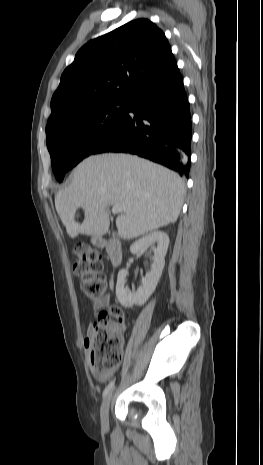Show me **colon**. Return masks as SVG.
Returning a JSON list of instances; mask_svg holds the SVG:
<instances>
[{"mask_svg": "<svg viewBox=\"0 0 263 465\" xmlns=\"http://www.w3.org/2000/svg\"><path fill=\"white\" fill-rule=\"evenodd\" d=\"M77 260L74 273L80 277L81 289L91 300L103 297L106 279L102 273L103 264L98 252L89 246L80 245L75 250ZM124 317L118 307L101 311L85 342L90 349L89 359L98 372H108L116 368L123 352V337L120 331Z\"/></svg>", "mask_w": 263, "mask_h": 465, "instance_id": "5ec220e1", "label": "colon"}]
</instances>
